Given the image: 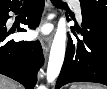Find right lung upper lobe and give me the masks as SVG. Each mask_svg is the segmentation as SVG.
I'll return each instance as SVG.
<instances>
[{"label": "right lung upper lobe", "instance_id": "1", "mask_svg": "<svg viewBox=\"0 0 107 89\" xmlns=\"http://www.w3.org/2000/svg\"><path fill=\"white\" fill-rule=\"evenodd\" d=\"M19 0H0V8L7 6L10 3L18 2Z\"/></svg>", "mask_w": 107, "mask_h": 89}]
</instances>
